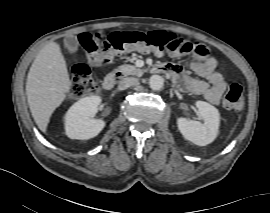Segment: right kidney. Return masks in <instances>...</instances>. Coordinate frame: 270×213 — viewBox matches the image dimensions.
Here are the masks:
<instances>
[{
  "mask_svg": "<svg viewBox=\"0 0 270 213\" xmlns=\"http://www.w3.org/2000/svg\"><path fill=\"white\" fill-rule=\"evenodd\" d=\"M101 102L99 96H89L74 103L65 114V133L71 139L87 140L105 127L101 119L92 118Z\"/></svg>",
  "mask_w": 270,
  "mask_h": 213,
  "instance_id": "obj_1",
  "label": "right kidney"
}]
</instances>
